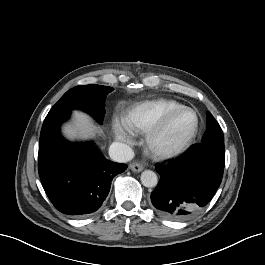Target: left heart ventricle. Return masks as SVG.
<instances>
[{"instance_id": "1", "label": "left heart ventricle", "mask_w": 265, "mask_h": 265, "mask_svg": "<svg viewBox=\"0 0 265 265\" xmlns=\"http://www.w3.org/2000/svg\"><path fill=\"white\" fill-rule=\"evenodd\" d=\"M195 124V116L190 111H184L174 116L169 122L162 142L176 143L186 138Z\"/></svg>"}]
</instances>
